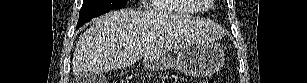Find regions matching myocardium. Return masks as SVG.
Here are the masks:
<instances>
[{"instance_id": "obj_1", "label": "myocardium", "mask_w": 307, "mask_h": 83, "mask_svg": "<svg viewBox=\"0 0 307 83\" xmlns=\"http://www.w3.org/2000/svg\"><path fill=\"white\" fill-rule=\"evenodd\" d=\"M193 2L195 1V2H203V1H212V0H192ZM198 8L200 9V10H203V11H208L209 9H210V7H204L202 4H199L198 5Z\"/></svg>"}]
</instances>
